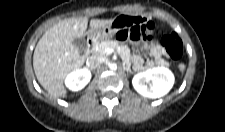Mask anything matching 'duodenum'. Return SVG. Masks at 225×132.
Wrapping results in <instances>:
<instances>
[{"instance_id":"410a0bca","label":"duodenum","mask_w":225,"mask_h":132,"mask_svg":"<svg viewBox=\"0 0 225 132\" xmlns=\"http://www.w3.org/2000/svg\"><path fill=\"white\" fill-rule=\"evenodd\" d=\"M95 46V40L93 38H88L87 40V51L91 52Z\"/></svg>"}]
</instances>
